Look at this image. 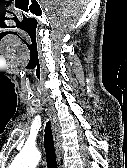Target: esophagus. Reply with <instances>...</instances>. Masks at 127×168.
Segmentation results:
<instances>
[{"instance_id": "esophagus-1", "label": "esophagus", "mask_w": 127, "mask_h": 168, "mask_svg": "<svg viewBox=\"0 0 127 168\" xmlns=\"http://www.w3.org/2000/svg\"><path fill=\"white\" fill-rule=\"evenodd\" d=\"M48 115L52 125V131H53L55 147H56V154H57L58 160H60L62 157V137H61L60 125L56 119V116L51 111H48Z\"/></svg>"}]
</instances>
